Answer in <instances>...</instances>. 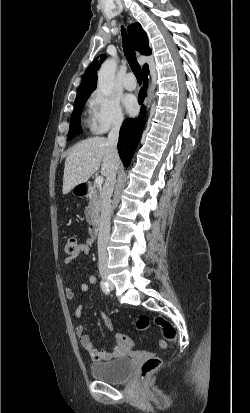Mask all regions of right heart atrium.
I'll list each match as a JSON object with an SVG mask.
<instances>
[{
  "mask_svg": "<svg viewBox=\"0 0 250 413\" xmlns=\"http://www.w3.org/2000/svg\"><path fill=\"white\" fill-rule=\"evenodd\" d=\"M89 104L90 127L94 133L103 134L122 125L124 115L115 95L97 91L91 96Z\"/></svg>",
  "mask_w": 250,
  "mask_h": 413,
  "instance_id": "d8ad5b80",
  "label": "right heart atrium"
}]
</instances>
